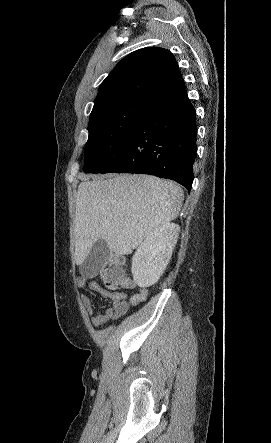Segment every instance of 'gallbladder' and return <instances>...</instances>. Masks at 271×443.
<instances>
[{
  "label": "gallbladder",
  "mask_w": 271,
  "mask_h": 443,
  "mask_svg": "<svg viewBox=\"0 0 271 443\" xmlns=\"http://www.w3.org/2000/svg\"><path fill=\"white\" fill-rule=\"evenodd\" d=\"M108 243L104 239H98L94 243L87 259L79 267V271L84 278H95L96 273H102L104 260L108 259Z\"/></svg>",
  "instance_id": "obj_1"
}]
</instances>
